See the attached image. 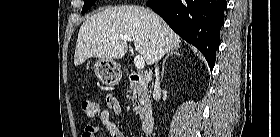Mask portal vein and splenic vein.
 <instances>
[{
    "label": "portal vein and splenic vein",
    "mask_w": 280,
    "mask_h": 137,
    "mask_svg": "<svg viewBox=\"0 0 280 137\" xmlns=\"http://www.w3.org/2000/svg\"><path fill=\"white\" fill-rule=\"evenodd\" d=\"M109 40H125V41L131 42L132 37L129 35L120 34V35H113V36L108 37L107 41H109ZM134 64L137 69H143L145 67L144 58L141 55H136L134 58Z\"/></svg>",
    "instance_id": "portal-vein-and-splenic-vein-1"
}]
</instances>
